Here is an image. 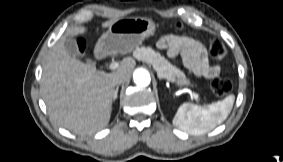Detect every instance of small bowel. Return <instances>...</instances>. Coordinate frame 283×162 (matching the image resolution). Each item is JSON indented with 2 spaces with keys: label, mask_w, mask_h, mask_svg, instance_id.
I'll return each mask as SVG.
<instances>
[{
  "label": "small bowel",
  "mask_w": 283,
  "mask_h": 162,
  "mask_svg": "<svg viewBox=\"0 0 283 162\" xmlns=\"http://www.w3.org/2000/svg\"><path fill=\"white\" fill-rule=\"evenodd\" d=\"M157 45L166 50L170 58L180 56L184 65L198 77L212 79L220 74V67L210 64L205 47L192 38L168 35Z\"/></svg>",
  "instance_id": "small-bowel-1"
}]
</instances>
